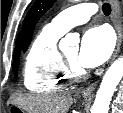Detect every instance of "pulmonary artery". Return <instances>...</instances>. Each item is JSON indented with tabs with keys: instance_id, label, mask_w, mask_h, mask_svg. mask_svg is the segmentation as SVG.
Segmentation results:
<instances>
[{
	"instance_id": "e3ab8cb5",
	"label": "pulmonary artery",
	"mask_w": 123,
	"mask_h": 113,
	"mask_svg": "<svg viewBox=\"0 0 123 113\" xmlns=\"http://www.w3.org/2000/svg\"><path fill=\"white\" fill-rule=\"evenodd\" d=\"M96 11L97 5L94 3L74 5L54 17L49 26L60 32H66L76 25L86 23Z\"/></svg>"
}]
</instances>
